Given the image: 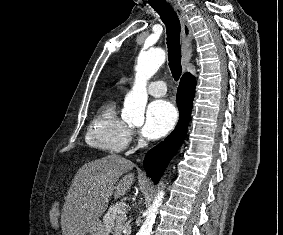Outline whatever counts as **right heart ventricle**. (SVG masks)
Instances as JSON below:
<instances>
[{
  "instance_id": "e07e8e85",
  "label": "right heart ventricle",
  "mask_w": 283,
  "mask_h": 235,
  "mask_svg": "<svg viewBox=\"0 0 283 235\" xmlns=\"http://www.w3.org/2000/svg\"><path fill=\"white\" fill-rule=\"evenodd\" d=\"M129 128L119 117L117 102L109 100L96 112L86 133V143L100 151L114 154L125 150Z\"/></svg>"
}]
</instances>
